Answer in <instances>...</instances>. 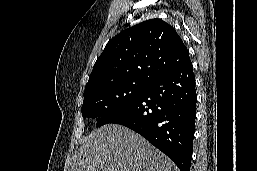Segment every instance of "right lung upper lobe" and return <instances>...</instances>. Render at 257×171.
Segmentation results:
<instances>
[{"label": "right lung upper lobe", "instance_id": "obj_1", "mask_svg": "<svg viewBox=\"0 0 257 171\" xmlns=\"http://www.w3.org/2000/svg\"><path fill=\"white\" fill-rule=\"evenodd\" d=\"M191 62L173 26L150 19L113 37L98 57L85 92L117 83H146Z\"/></svg>", "mask_w": 257, "mask_h": 171}]
</instances>
